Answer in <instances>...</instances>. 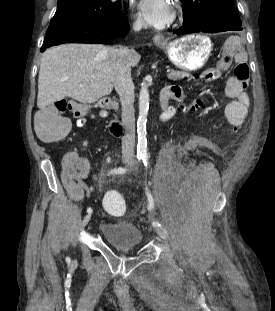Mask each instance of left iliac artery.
<instances>
[{
	"label": "left iliac artery",
	"mask_w": 275,
	"mask_h": 311,
	"mask_svg": "<svg viewBox=\"0 0 275 311\" xmlns=\"http://www.w3.org/2000/svg\"><path fill=\"white\" fill-rule=\"evenodd\" d=\"M142 159H143L144 165L147 166V164H148V154L147 153L142 154ZM146 194H147L148 201H149L148 210L151 211L154 208V199H153L151 193H149V191L147 189H146ZM152 225L155 226V227L161 226V224L158 221H153Z\"/></svg>",
	"instance_id": "44dca946"
}]
</instances>
